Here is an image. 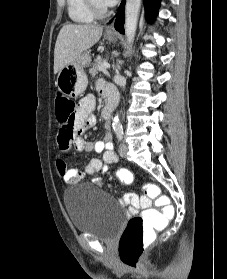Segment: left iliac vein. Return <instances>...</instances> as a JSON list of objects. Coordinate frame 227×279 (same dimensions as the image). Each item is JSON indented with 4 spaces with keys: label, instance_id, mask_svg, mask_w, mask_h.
Returning <instances> with one entry per match:
<instances>
[{
    "label": "left iliac vein",
    "instance_id": "1",
    "mask_svg": "<svg viewBox=\"0 0 227 279\" xmlns=\"http://www.w3.org/2000/svg\"><path fill=\"white\" fill-rule=\"evenodd\" d=\"M128 152V146L124 143H121L119 146V154L121 157H126Z\"/></svg>",
    "mask_w": 227,
    "mask_h": 279
}]
</instances>
